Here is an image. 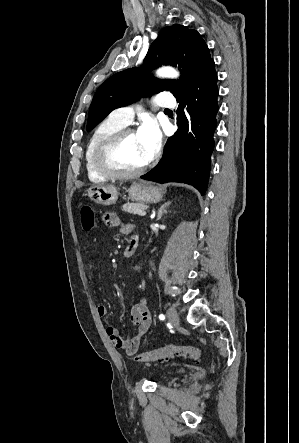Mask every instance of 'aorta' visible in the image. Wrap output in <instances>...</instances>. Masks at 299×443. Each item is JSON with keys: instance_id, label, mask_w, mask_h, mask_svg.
Here are the masks:
<instances>
[{"instance_id": "obj_1", "label": "aorta", "mask_w": 299, "mask_h": 443, "mask_svg": "<svg viewBox=\"0 0 299 443\" xmlns=\"http://www.w3.org/2000/svg\"><path fill=\"white\" fill-rule=\"evenodd\" d=\"M156 74L161 78H177L179 76V73L171 67L160 68L157 70Z\"/></svg>"}]
</instances>
